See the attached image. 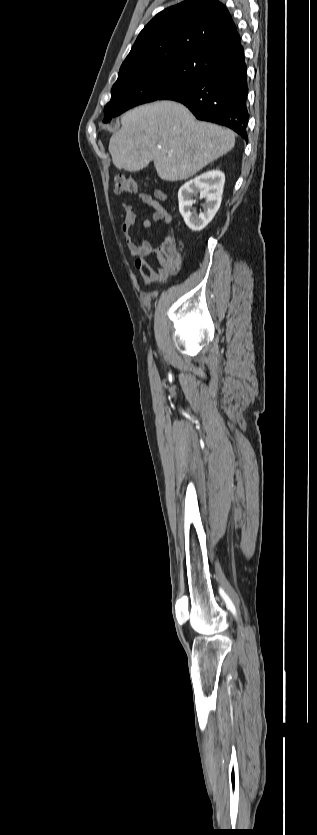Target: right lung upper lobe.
Segmentation results:
<instances>
[{
  "label": "right lung upper lobe",
  "instance_id": "1",
  "mask_svg": "<svg viewBox=\"0 0 317 835\" xmlns=\"http://www.w3.org/2000/svg\"><path fill=\"white\" fill-rule=\"evenodd\" d=\"M237 35L229 11L216 0H186L158 13L140 32L118 76L194 57Z\"/></svg>",
  "mask_w": 317,
  "mask_h": 835
}]
</instances>
